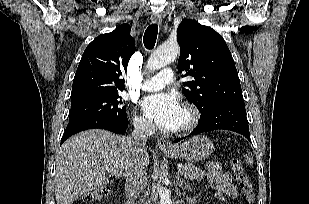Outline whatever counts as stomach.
<instances>
[{
	"instance_id": "obj_1",
	"label": "stomach",
	"mask_w": 309,
	"mask_h": 204,
	"mask_svg": "<svg viewBox=\"0 0 309 204\" xmlns=\"http://www.w3.org/2000/svg\"><path fill=\"white\" fill-rule=\"evenodd\" d=\"M213 150L214 146L210 139L197 135L175 145L173 150L164 151V154L175 159L194 162L207 158Z\"/></svg>"
}]
</instances>
